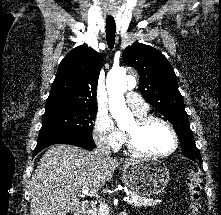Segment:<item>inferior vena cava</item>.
I'll use <instances>...</instances> for the list:
<instances>
[{
  "label": "inferior vena cava",
  "instance_id": "obj_1",
  "mask_svg": "<svg viewBox=\"0 0 221 215\" xmlns=\"http://www.w3.org/2000/svg\"><path fill=\"white\" fill-rule=\"evenodd\" d=\"M96 151L100 156H109L111 154V148L107 142H98Z\"/></svg>",
  "mask_w": 221,
  "mask_h": 215
}]
</instances>
